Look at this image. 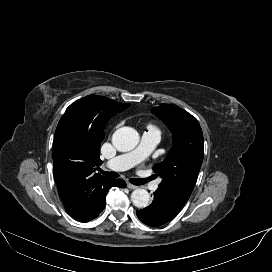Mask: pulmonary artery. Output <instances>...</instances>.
Segmentation results:
<instances>
[{"label": "pulmonary artery", "mask_w": 272, "mask_h": 272, "mask_svg": "<svg viewBox=\"0 0 272 272\" xmlns=\"http://www.w3.org/2000/svg\"><path fill=\"white\" fill-rule=\"evenodd\" d=\"M161 138L160 132L156 129L146 130L141 138V142L133 151L116 156L107 163V167L114 170H127L146 159L154 150ZM157 183L151 188L156 189Z\"/></svg>", "instance_id": "pulmonary-artery-1"}]
</instances>
